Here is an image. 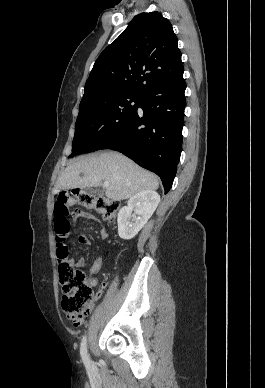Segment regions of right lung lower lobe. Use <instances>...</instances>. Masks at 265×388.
Masks as SVG:
<instances>
[{
	"label": "right lung lower lobe",
	"instance_id": "right-lung-lower-lobe-1",
	"mask_svg": "<svg viewBox=\"0 0 265 388\" xmlns=\"http://www.w3.org/2000/svg\"><path fill=\"white\" fill-rule=\"evenodd\" d=\"M186 84L183 75L141 95L138 109L100 149L117 150L161 177L170 190L182 150Z\"/></svg>",
	"mask_w": 265,
	"mask_h": 388
}]
</instances>
